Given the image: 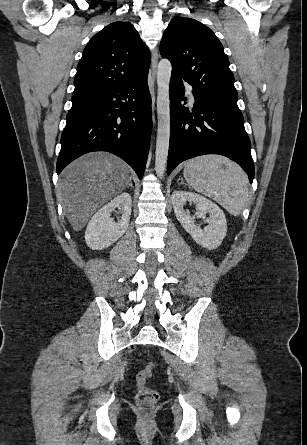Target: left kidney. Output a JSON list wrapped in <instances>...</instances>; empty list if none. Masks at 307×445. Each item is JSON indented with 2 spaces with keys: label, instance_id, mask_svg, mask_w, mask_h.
<instances>
[{
  "label": "left kidney",
  "instance_id": "5707ae66",
  "mask_svg": "<svg viewBox=\"0 0 307 445\" xmlns=\"http://www.w3.org/2000/svg\"><path fill=\"white\" fill-rule=\"evenodd\" d=\"M171 198L176 218L192 239L204 249H209V251L217 249L227 233V223L223 210L215 202L201 196V194H196V192L174 190ZM187 200L196 204L198 218H201V216L205 218L206 212H209V218H206L208 225L205 229H200L198 225H195V220L190 216L188 210H184L183 206Z\"/></svg>",
  "mask_w": 307,
  "mask_h": 445
}]
</instances>
